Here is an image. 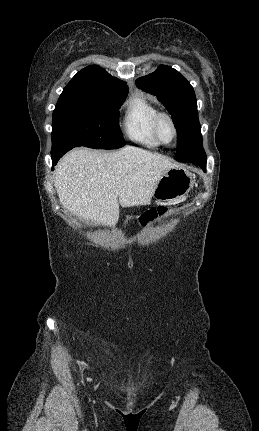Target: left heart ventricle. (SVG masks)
Returning <instances> with one entry per match:
<instances>
[{"label": "left heart ventricle", "instance_id": "obj_1", "mask_svg": "<svg viewBox=\"0 0 259 431\" xmlns=\"http://www.w3.org/2000/svg\"><path fill=\"white\" fill-rule=\"evenodd\" d=\"M160 135H161V138L166 142L170 141L172 138V135H173L172 128L169 122L166 120H163L160 124Z\"/></svg>", "mask_w": 259, "mask_h": 431}]
</instances>
